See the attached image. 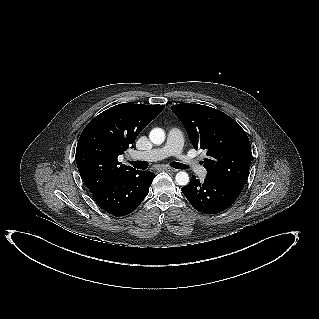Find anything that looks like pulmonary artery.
<instances>
[{
  "label": "pulmonary artery",
  "mask_w": 319,
  "mask_h": 319,
  "mask_svg": "<svg viewBox=\"0 0 319 319\" xmlns=\"http://www.w3.org/2000/svg\"><path fill=\"white\" fill-rule=\"evenodd\" d=\"M141 158L148 161L164 159L168 156H175L179 163L187 168L194 170L199 176H206V169L195 159L183 152V136L179 129L172 128L163 147L152 149L138 154Z\"/></svg>",
  "instance_id": "obj_1"
}]
</instances>
